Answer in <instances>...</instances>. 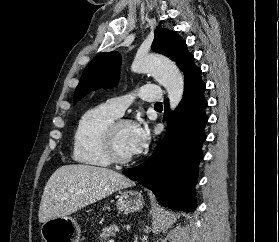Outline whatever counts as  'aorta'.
<instances>
[{
	"mask_svg": "<svg viewBox=\"0 0 279 242\" xmlns=\"http://www.w3.org/2000/svg\"><path fill=\"white\" fill-rule=\"evenodd\" d=\"M131 70L136 73H149L168 93L170 108L174 110L183 97L184 78L174 62L155 54L137 55Z\"/></svg>",
	"mask_w": 279,
	"mask_h": 242,
	"instance_id": "aorta-1",
	"label": "aorta"
}]
</instances>
